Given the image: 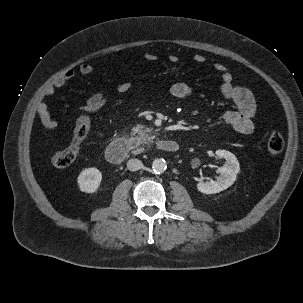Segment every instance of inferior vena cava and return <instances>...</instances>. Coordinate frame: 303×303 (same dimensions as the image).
Returning <instances> with one entry per match:
<instances>
[{
	"instance_id": "inferior-vena-cava-1",
	"label": "inferior vena cava",
	"mask_w": 303,
	"mask_h": 303,
	"mask_svg": "<svg viewBox=\"0 0 303 303\" xmlns=\"http://www.w3.org/2000/svg\"><path fill=\"white\" fill-rule=\"evenodd\" d=\"M127 168L130 171H137V170L143 168V163L138 159H130L127 162Z\"/></svg>"
}]
</instances>
